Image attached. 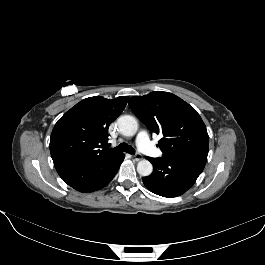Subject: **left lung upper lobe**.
Segmentation results:
<instances>
[{
    "mask_svg": "<svg viewBox=\"0 0 265 265\" xmlns=\"http://www.w3.org/2000/svg\"><path fill=\"white\" fill-rule=\"evenodd\" d=\"M134 114L156 134L163 155L208 148L209 136L200 115L178 96L162 91L134 96L128 101Z\"/></svg>",
    "mask_w": 265,
    "mask_h": 265,
    "instance_id": "5c2ea615",
    "label": "left lung upper lobe"
}]
</instances>
